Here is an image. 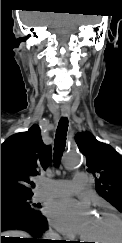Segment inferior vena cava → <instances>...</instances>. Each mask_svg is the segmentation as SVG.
I'll return each mask as SVG.
<instances>
[{"mask_svg":"<svg viewBox=\"0 0 122 243\" xmlns=\"http://www.w3.org/2000/svg\"><path fill=\"white\" fill-rule=\"evenodd\" d=\"M45 239H50V240H57L59 238L58 234L52 232V231H47L44 234Z\"/></svg>","mask_w":122,"mask_h":243,"instance_id":"obj_1","label":"inferior vena cava"}]
</instances>
